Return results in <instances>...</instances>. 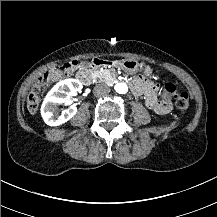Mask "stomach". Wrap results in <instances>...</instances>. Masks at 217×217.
<instances>
[{
    "label": "stomach",
    "mask_w": 217,
    "mask_h": 217,
    "mask_svg": "<svg viewBox=\"0 0 217 217\" xmlns=\"http://www.w3.org/2000/svg\"><path fill=\"white\" fill-rule=\"evenodd\" d=\"M118 65L123 71H125L129 74H135L138 71L143 70V72L146 76L152 75V68L149 65L142 68L140 66V64L138 63V61L135 59H131V58L122 59L119 61Z\"/></svg>",
    "instance_id": "stomach-1"
}]
</instances>
